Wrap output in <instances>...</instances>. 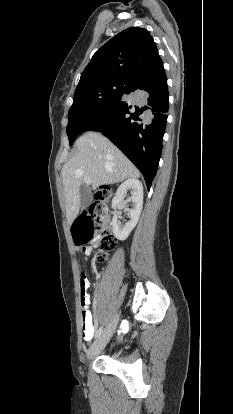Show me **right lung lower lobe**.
<instances>
[{"mask_svg": "<svg viewBox=\"0 0 233 414\" xmlns=\"http://www.w3.org/2000/svg\"><path fill=\"white\" fill-rule=\"evenodd\" d=\"M132 101L126 102L124 96ZM167 77L159 73L131 81L123 96L81 128L109 138L141 171L148 189L155 177L169 108Z\"/></svg>", "mask_w": 233, "mask_h": 414, "instance_id": "1", "label": "right lung lower lobe"}]
</instances>
